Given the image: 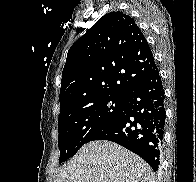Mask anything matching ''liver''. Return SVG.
I'll use <instances>...</instances> for the list:
<instances>
[{"label": "liver", "instance_id": "1", "mask_svg": "<svg viewBox=\"0 0 196 182\" xmlns=\"http://www.w3.org/2000/svg\"><path fill=\"white\" fill-rule=\"evenodd\" d=\"M55 182H155L152 169L139 156L110 141L82 146Z\"/></svg>", "mask_w": 196, "mask_h": 182}]
</instances>
